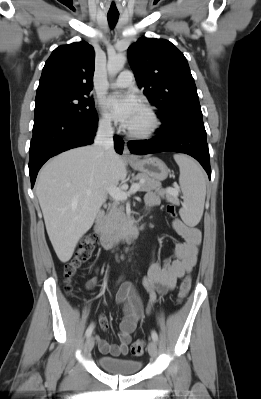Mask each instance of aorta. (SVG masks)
Instances as JSON below:
<instances>
[{
  "instance_id": "1",
  "label": "aorta",
  "mask_w": 261,
  "mask_h": 399,
  "mask_svg": "<svg viewBox=\"0 0 261 399\" xmlns=\"http://www.w3.org/2000/svg\"><path fill=\"white\" fill-rule=\"evenodd\" d=\"M126 60L127 57L124 54L110 56L107 63L108 74L110 76H115L117 73H119L123 69Z\"/></svg>"
}]
</instances>
